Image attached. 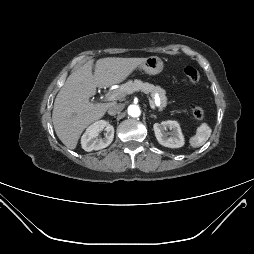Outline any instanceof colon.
Segmentation results:
<instances>
[{
  "mask_svg": "<svg viewBox=\"0 0 254 254\" xmlns=\"http://www.w3.org/2000/svg\"><path fill=\"white\" fill-rule=\"evenodd\" d=\"M183 75L190 84L196 85L200 81L199 72L192 66L184 67ZM193 115H194L195 119L202 120L204 118L203 108L201 106H195L193 108Z\"/></svg>",
  "mask_w": 254,
  "mask_h": 254,
  "instance_id": "colon-1",
  "label": "colon"
}]
</instances>
